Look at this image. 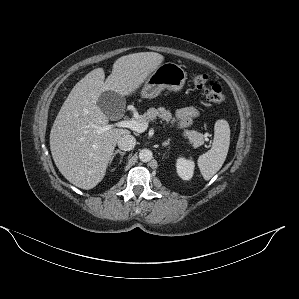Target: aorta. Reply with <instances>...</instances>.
Returning a JSON list of instances; mask_svg holds the SVG:
<instances>
[{
  "mask_svg": "<svg viewBox=\"0 0 299 299\" xmlns=\"http://www.w3.org/2000/svg\"><path fill=\"white\" fill-rule=\"evenodd\" d=\"M153 157L152 151L149 149H142L139 152V159L142 162H149Z\"/></svg>",
  "mask_w": 299,
  "mask_h": 299,
  "instance_id": "762f6f07",
  "label": "aorta"
}]
</instances>
